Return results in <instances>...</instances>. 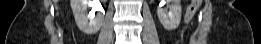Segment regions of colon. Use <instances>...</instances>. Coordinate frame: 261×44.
Wrapping results in <instances>:
<instances>
[{
	"label": "colon",
	"instance_id": "obj_1",
	"mask_svg": "<svg viewBox=\"0 0 261 44\" xmlns=\"http://www.w3.org/2000/svg\"><path fill=\"white\" fill-rule=\"evenodd\" d=\"M201 4V0H191L189 1V6L185 14V24H189L193 19V16Z\"/></svg>",
	"mask_w": 261,
	"mask_h": 44
}]
</instances>
